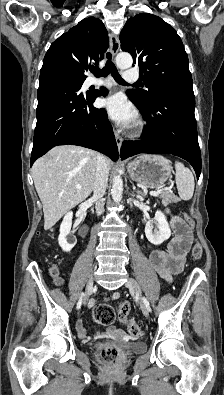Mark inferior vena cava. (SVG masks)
<instances>
[{"instance_id":"obj_1","label":"inferior vena cava","mask_w":224,"mask_h":395,"mask_svg":"<svg viewBox=\"0 0 224 395\" xmlns=\"http://www.w3.org/2000/svg\"><path fill=\"white\" fill-rule=\"evenodd\" d=\"M109 176V166L107 158L98 154L95 181L93 186V198L95 199V208L97 215H101L104 211L103 196L105 195Z\"/></svg>"}]
</instances>
